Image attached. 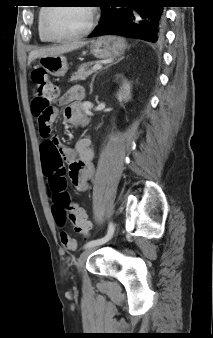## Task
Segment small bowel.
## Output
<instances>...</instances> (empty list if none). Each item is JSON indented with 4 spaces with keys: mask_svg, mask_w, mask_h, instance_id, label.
Here are the masks:
<instances>
[{
    "mask_svg": "<svg viewBox=\"0 0 213 338\" xmlns=\"http://www.w3.org/2000/svg\"><path fill=\"white\" fill-rule=\"evenodd\" d=\"M83 97V89L80 86H73L58 100L59 105L65 106V120L73 126L84 122L77 112L78 105ZM51 122L52 120L49 125ZM50 140L45 139L43 143ZM76 158L78 159L76 160ZM64 159L69 161L67 169L64 168L62 163ZM41 162L43 174L47 179L54 217L58 223L63 224L65 221L64 215L56 213L53 197L59 184L65 180L66 176L77 191L84 192L87 190L88 182L94 172L91 164L90 140L88 138L80 140L73 150L64 145H59L49 154L45 153L41 148Z\"/></svg>",
    "mask_w": 213,
    "mask_h": 338,
    "instance_id": "obj_1",
    "label": "small bowel"
}]
</instances>
